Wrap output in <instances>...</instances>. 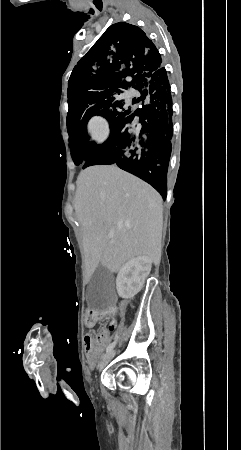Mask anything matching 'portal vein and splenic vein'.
<instances>
[{
  "label": "portal vein and splenic vein",
  "mask_w": 241,
  "mask_h": 450,
  "mask_svg": "<svg viewBox=\"0 0 241 450\" xmlns=\"http://www.w3.org/2000/svg\"><path fill=\"white\" fill-rule=\"evenodd\" d=\"M108 238H113V232H109Z\"/></svg>",
  "instance_id": "1"
}]
</instances>
